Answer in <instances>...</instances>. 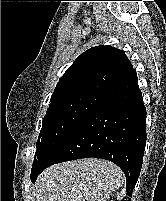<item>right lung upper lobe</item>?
<instances>
[{
	"mask_svg": "<svg viewBox=\"0 0 166 201\" xmlns=\"http://www.w3.org/2000/svg\"><path fill=\"white\" fill-rule=\"evenodd\" d=\"M132 71L122 50L104 45L90 48L60 78L50 106L85 95L105 96Z\"/></svg>",
	"mask_w": 166,
	"mask_h": 201,
	"instance_id": "right-lung-upper-lobe-1",
	"label": "right lung upper lobe"
}]
</instances>
